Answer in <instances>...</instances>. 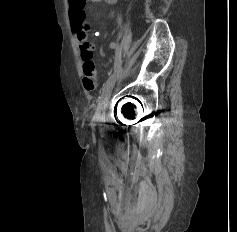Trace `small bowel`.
I'll return each mask as SVG.
<instances>
[{"label": "small bowel", "instance_id": "c3829d8e", "mask_svg": "<svg viewBox=\"0 0 237 232\" xmlns=\"http://www.w3.org/2000/svg\"><path fill=\"white\" fill-rule=\"evenodd\" d=\"M93 3L100 2L101 0H88ZM79 42V49L82 59L83 68V86L86 90L92 91L97 86L96 70L93 62V45L88 42L85 36L77 35Z\"/></svg>", "mask_w": 237, "mask_h": 232}]
</instances>
